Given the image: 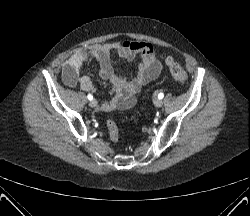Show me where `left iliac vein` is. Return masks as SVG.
<instances>
[{
	"instance_id": "4c4485c4",
	"label": "left iliac vein",
	"mask_w": 250,
	"mask_h": 216,
	"mask_svg": "<svg viewBox=\"0 0 250 216\" xmlns=\"http://www.w3.org/2000/svg\"><path fill=\"white\" fill-rule=\"evenodd\" d=\"M162 104H163V102H162L161 99L157 98V99L154 100V105H155L156 107H161Z\"/></svg>"
}]
</instances>
